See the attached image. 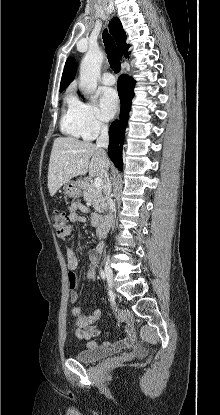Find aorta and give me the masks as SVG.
Segmentation results:
<instances>
[{"label": "aorta", "mask_w": 220, "mask_h": 415, "mask_svg": "<svg viewBox=\"0 0 220 415\" xmlns=\"http://www.w3.org/2000/svg\"><path fill=\"white\" fill-rule=\"evenodd\" d=\"M104 55L99 49H89L80 65V86L85 96L95 100L97 81Z\"/></svg>", "instance_id": "762f6f07"}]
</instances>
